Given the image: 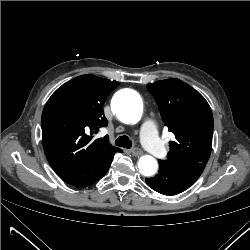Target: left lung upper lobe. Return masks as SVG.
I'll return each mask as SVG.
<instances>
[{
    "mask_svg": "<svg viewBox=\"0 0 250 250\" xmlns=\"http://www.w3.org/2000/svg\"><path fill=\"white\" fill-rule=\"evenodd\" d=\"M155 97L168 130V165L200 163L206 165L212 148L213 115L204 97L183 81L171 78L147 85Z\"/></svg>",
    "mask_w": 250,
    "mask_h": 250,
    "instance_id": "obj_1",
    "label": "left lung upper lobe"
}]
</instances>
